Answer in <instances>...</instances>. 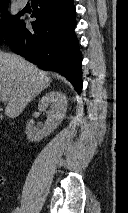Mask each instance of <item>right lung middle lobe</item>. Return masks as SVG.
Segmentation results:
<instances>
[{"label":"right lung middle lobe","mask_w":128,"mask_h":213,"mask_svg":"<svg viewBox=\"0 0 128 213\" xmlns=\"http://www.w3.org/2000/svg\"><path fill=\"white\" fill-rule=\"evenodd\" d=\"M0 10L3 11V13H6L7 11V6L2 5L0 6ZM20 14L11 16V15H3L2 17L6 19V21L0 25L4 26V31L0 30V44L3 42L4 39H6L16 28V26L20 23ZM3 34V37H2Z\"/></svg>","instance_id":"right-lung-middle-lobe-1"}]
</instances>
